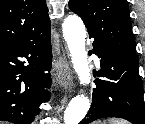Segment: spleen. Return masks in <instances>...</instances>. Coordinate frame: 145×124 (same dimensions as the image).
Instances as JSON below:
<instances>
[{"mask_svg": "<svg viewBox=\"0 0 145 124\" xmlns=\"http://www.w3.org/2000/svg\"><path fill=\"white\" fill-rule=\"evenodd\" d=\"M110 124H128V123L121 119H111Z\"/></svg>", "mask_w": 145, "mask_h": 124, "instance_id": "1", "label": "spleen"}]
</instances>
